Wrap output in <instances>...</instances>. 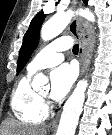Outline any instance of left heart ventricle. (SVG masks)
<instances>
[{
    "mask_svg": "<svg viewBox=\"0 0 112 135\" xmlns=\"http://www.w3.org/2000/svg\"><path fill=\"white\" fill-rule=\"evenodd\" d=\"M41 94L42 95H46L47 94V91H43Z\"/></svg>",
    "mask_w": 112,
    "mask_h": 135,
    "instance_id": "b2bd125f",
    "label": "left heart ventricle"
}]
</instances>
